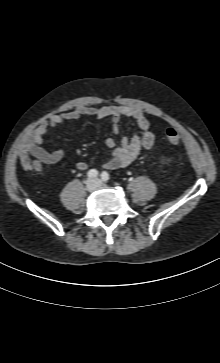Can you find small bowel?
I'll list each match as a JSON object with an SVG mask.
<instances>
[{
	"label": "small bowel",
	"instance_id": "obj_1",
	"mask_svg": "<svg viewBox=\"0 0 220 363\" xmlns=\"http://www.w3.org/2000/svg\"><path fill=\"white\" fill-rule=\"evenodd\" d=\"M92 116L97 119L110 118L114 134L120 132V121L123 118L130 119L140 130L132 138L123 137L119 143L112 137L106 139L105 144L112 149V157L103 165L106 169H116L133 163L142 150L150 149L155 141V135L151 124L144 113L136 108L128 106H105V107H79L61 115L52 116L41 122L31 133L28 141L19 151V161L23 168L41 172L43 165L58 163L64 156L62 149L48 152L41 147L44 136L51 128L63 124L65 121L76 120L82 117ZM75 168L84 171L88 164L79 161Z\"/></svg>",
	"mask_w": 220,
	"mask_h": 363
}]
</instances>
